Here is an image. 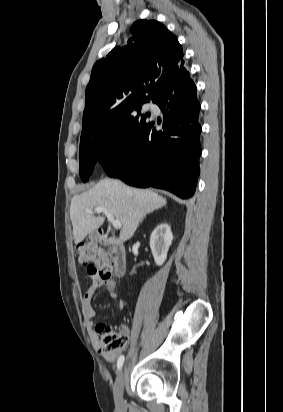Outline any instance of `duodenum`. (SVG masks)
Masks as SVG:
<instances>
[{
    "label": "duodenum",
    "mask_w": 283,
    "mask_h": 412,
    "mask_svg": "<svg viewBox=\"0 0 283 412\" xmlns=\"http://www.w3.org/2000/svg\"><path fill=\"white\" fill-rule=\"evenodd\" d=\"M101 242H108L110 246V253L114 264V274L116 277L124 276L126 272L127 260H126V252L123 246L122 241L117 238L113 237L109 240H106L104 235L100 236Z\"/></svg>",
    "instance_id": "duodenum-1"
}]
</instances>
